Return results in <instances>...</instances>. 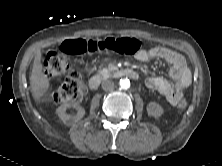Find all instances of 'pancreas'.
Returning <instances> with one entry per match:
<instances>
[{
	"instance_id": "obj_1",
	"label": "pancreas",
	"mask_w": 222,
	"mask_h": 166,
	"mask_svg": "<svg viewBox=\"0 0 222 166\" xmlns=\"http://www.w3.org/2000/svg\"><path fill=\"white\" fill-rule=\"evenodd\" d=\"M98 74L103 77V78H106V77H109L110 76V70L107 69V68H103L101 70H99Z\"/></svg>"
}]
</instances>
